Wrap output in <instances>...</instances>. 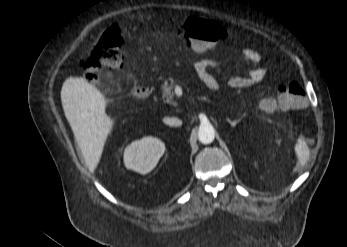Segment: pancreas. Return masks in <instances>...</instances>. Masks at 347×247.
I'll return each mask as SVG.
<instances>
[{
    "label": "pancreas",
    "instance_id": "pancreas-1",
    "mask_svg": "<svg viewBox=\"0 0 347 247\" xmlns=\"http://www.w3.org/2000/svg\"><path fill=\"white\" fill-rule=\"evenodd\" d=\"M175 86H176V82L173 80V78H169V79L164 81L163 85L161 86V89L163 91L162 99L165 102L174 103L173 102V97H174L173 89Z\"/></svg>",
    "mask_w": 347,
    "mask_h": 247
}]
</instances>
